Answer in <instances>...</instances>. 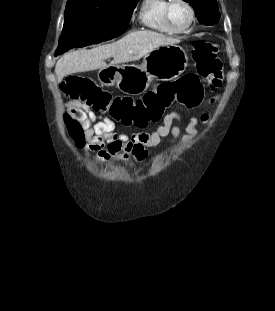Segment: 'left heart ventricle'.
<instances>
[{"label": "left heart ventricle", "mask_w": 275, "mask_h": 311, "mask_svg": "<svg viewBox=\"0 0 275 311\" xmlns=\"http://www.w3.org/2000/svg\"><path fill=\"white\" fill-rule=\"evenodd\" d=\"M170 18L176 27H185L190 20L188 8L181 2H175L170 9Z\"/></svg>", "instance_id": "1"}]
</instances>
